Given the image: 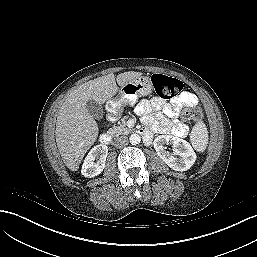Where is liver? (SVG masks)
<instances>
[{"label":"liver","mask_w":257,"mask_h":257,"mask_svg":"<svg viewBox=\"0 0 257 257\" xmlns=\"http://www.w3.org/2000/svg\"><path fill=\"white\" fill-rule=\"evenodd\" d=\"M141 75L129 71L115 77L110 73L80 85L69 94L59 110L55 135L62 160L71 171L79 169L85 153L98 137V124L86 109L87 101L103 104L118 92L117 84L122 87Z\"/></svg>","instance_id":"liver-1"}]
</instances>
